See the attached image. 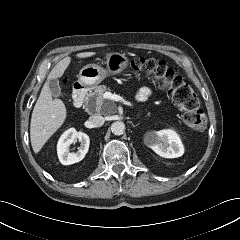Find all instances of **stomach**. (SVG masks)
I'll list each match as a JSON object with an SVG mask.
<instances>
[{
	"mask_svg": "<svg viewBox=\"0 0 240 240\" xmlns=\"http://www.w3.org/2000/svg\"><path fill=\"white\" fill-rule=\"evenodd\" d=\"M106 66L103 68L98 64H88L79 72V84L87 89H94L108 75H115L123 72L129 59L124 53L111 52L106 56Z\"/></svg>",
	"mask_w": 240,
	"mask_h": 240,
	"instance_id": "obj_1",
	"label": "stomach"
}]
</instances>
